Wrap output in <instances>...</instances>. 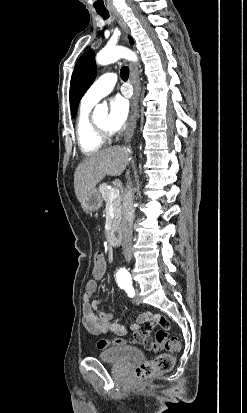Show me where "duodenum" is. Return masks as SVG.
<instances>
[{"mask_svg": "<svg viewBox=\"0 0 247 413\" xmlns=\"http://www.w3.org/2000/svg\"><path fill=\"white\" fill-rule=\"evenodd\" d=\"M108 241L111 245H117L120 242V233L117 227H112L109 230Z\"/></svg>", "mask_w": 247, "mask_h": 413, "instance_id": "410a0bca", "label": "duodenum"}]
</instances>
